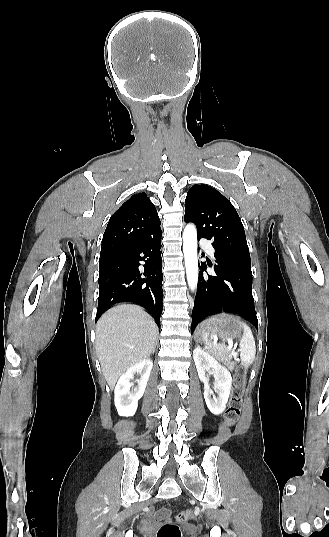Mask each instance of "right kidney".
Returning <instances> with one entry per match:
<instances>
[{
  "label": "right kidney",
  "instance_id": "obj_1",
  "mask_svg": "<svg viewBox=\"0 0 329 537\" xmlns=\"http://www.w3.org/2000/svg\"><path fill=\"white\" fill-rule=\"evenodd\" d=\"M153 367V362L150 359H145L124 373L118 380L115 387V406L120 416H133L138 407V400L143 396L150 372ZM135 374L140 375L137 380V386H134L132 380Z\"/></svg>",
  "mask_w": 329,
  "mask_h": 537
}]
</instances>
